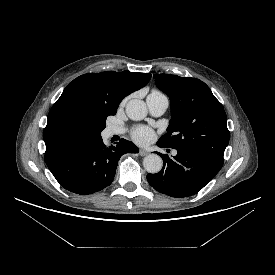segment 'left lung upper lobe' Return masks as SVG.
<instances>
[{"instance_id":"obj_1","label":"left lung upper lobe","mask_w":275,"mask_h":275,"mask_svg":"<svg viewBox=\"0 0 275 275\" xmlns=\"http://www.w3.org/2000/svg\"><path fill=\"white\" fill-rule=\"evenodd\" d=\"M157 87L171 101L167 133L158 143L197 152L223 162L229 143L227 117L221 103L201 80L177 75H154Z\"/></svg>"}]
</instances>
